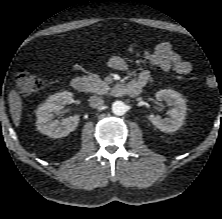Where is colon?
Returning a JSON list of instances; mask_svg holds the SVG:
<instances>
[{
    "instance_id": "1",
    "label": "colon",
    "mask_w": 222,
    "mask_h": 219,
    "mask_svg": "<svg viewBox=\"0 0 222 219\" xmlns=\"http://www.w3.org/2000/svg\"><path fill=\"white\" fill-rule=\"evenodd\" d=\"M15 82L17 89L26 94L35 93L41 90L45 82L41 77H38L26 69H18L15 74ZM218 84L214 76H208L205 80V85L208 88H214Z\"/></svg>"
}]
</instances>
